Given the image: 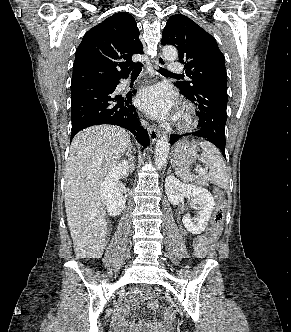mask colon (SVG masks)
I'll return each instance as SVG.
<instances>
[{
  "label": "colon",
  "mask_w": 291,
  "mask_h": 332,
  "mask_svg": "<svg viewBox=\"0 0 291 332\" xmlns=\"http://www.w3.org/2000/svg\"><path fill=\"white\" fill-rule=\"evenodd\" d=\"M219 201L217 209L214 213L213 221H212V227L210 228L207 236L208 241V249L210 256H214L215 254V248L217 246V240L222 232V226H223V220H224V214H225V207L226 202L222 198V195L220 193H217Z\"/></svg>",
  "instance_id": "5ec220e1"
}]
</instances>
